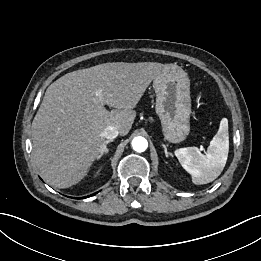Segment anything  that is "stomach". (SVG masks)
I'll list each match as a JSON object with an SVG mask.
<instances>
[{"label":"stomach","instance_id":"0dacf381","mask_svg":"<svg viewBox=\"0 0 261 261\" xmlns=\"http://www.w3.org/2000/svg\"><path fill=\"white\" fill-rule=\"evenodd\" d=\"M155 111L161 121L164 138L180 143L190 132V80L187 73L176 65H166L154 80Z\"/></svg>","mask_w":261,"mask_h":261}]
</instances>
